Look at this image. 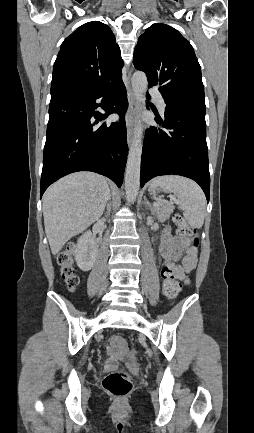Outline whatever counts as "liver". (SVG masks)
<instances>
[{
    "label": "liver",
    "instance_id": "1",
    "mask_svg": "<svg viewBox=\"0 0 254 433\" xmlns=\"http://www.w3.org/2000/svg\"><path fill=\"white\" fill-rule=\"evenodd\" d=\"M109 197L107 178L91 172L70 174L50 186L43 196V216L52 254L97 221Z\"/></svg>",
    "mask_w": 254,
    "mask_h": 433
}]
</instances>
